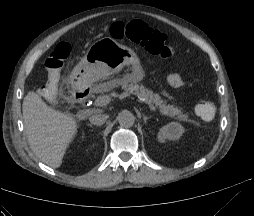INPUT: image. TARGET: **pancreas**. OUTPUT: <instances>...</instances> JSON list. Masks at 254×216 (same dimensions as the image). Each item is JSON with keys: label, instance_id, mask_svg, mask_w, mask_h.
<instances>
[{"label": "pancreas", "instance_id": "1", "mask_svg": "<svg viewBox=\"0 0 254 216\" xmlns=\"http://www.w3.org/2000/svg\"><path fill=\"white\" fill-rule=\"evenodd\" d=\"M119 86L129 91L133 95L138 96L139 98H144L147 104L155 105L163 115L175 118L183 122L192 121L191 119H189L187 114H183L181 109L173 105L167 104L166 101H164L159 96V94L146 89L143 85H139L136 82H132L123 78V79H113L111 81L99 85V87H101L103 91L111 90Z\"/></svg>", "mask_w": 254, "mask_h": 216}]
</instances>
